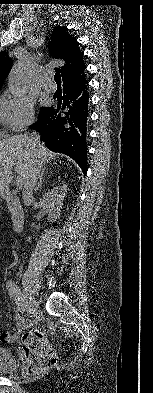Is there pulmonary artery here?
I'll use <instances>...</instances> for the list:
<instances>
[{
  "mask_svg": "<svg viewBox=\"0 0 153 393\" xmlns=\"http://www.w3.org/2000/svg\"><path fill=\"white\" fill-rule=\"evenodd\" d=\"M44 86H45L46 88H52V87H53L52 82H51V80H50L49 77H46V78L44 79Z\"/></svg>",
  "mask_w": 153,
  "mask_h": 393,
  "instance_id": "1",
  "label": "pulmonary artery"
}]
</instances>
